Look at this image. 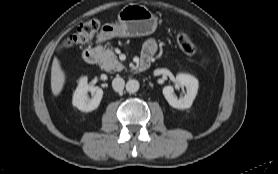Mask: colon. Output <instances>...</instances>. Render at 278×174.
<instances>
[{
    "label": "colon",
    "mask_w": 278,
    "mask_h": 174,
    "mask_svg": "<svg viewBox=\"0 0 278 174\" xmlns=\"http://www.w3.org/2000/svg\"><path fill=\"white\" fill-rule=\"evenodd\" d=\"M100 23L96 19H91L79 25L76 31L69 36L65 42V47L85 46L87 45L99 30ZM178 45L181 50L188 55H199L201 53L199 47L194 43L189 33L180 31L177 36ZM204 63H209L210 59L203 57Z\"/></svg>",
    "instance_id": "1"
}]
</instances>
